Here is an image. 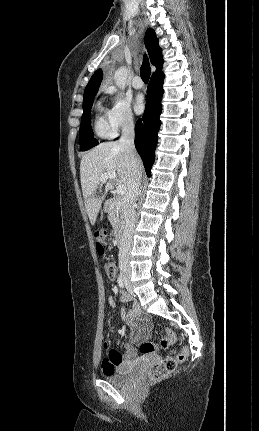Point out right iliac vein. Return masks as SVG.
Here are the masks:
<instances>
[{
    "instance_id": "63e3f726",
    "label": "right iliac vein",
    "mask_w": 259,
    "mask_h": 431,
    "mask_svg": "<svg viewBox=\"0 0 259 431\" xmlns=\"http://www.w3.org/2000/svg\"><path fill=\"white\" fill-rule=\"evenodd\" d=\"M122 276H123L124 280L128 284V282H129V276H130L129 273L127 271H123ZM128 287L130 288V285H128Z\"/></svg>"
}]
</instances>
